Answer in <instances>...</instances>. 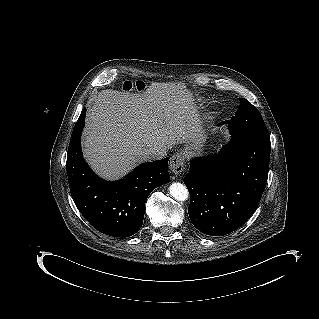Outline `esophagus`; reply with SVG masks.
I'll list each match as a JSON object with an SVG mask.
<instances>
[{"mask_svg":"<svg viewBox=\"0 0 319 319\" xmlns=\"http://www.w3.org/2000/svg\"><path fill=\"white\" fill-rule=\"evenodd\" d=\"M185 157L182 153H175L169 161V169L174 174H180L184 170Z\"/></svg>","mask_w":319,"mask_h":319,"instance_id":"obj_1","label":"esophagus"}]
</instances>
